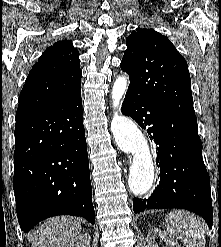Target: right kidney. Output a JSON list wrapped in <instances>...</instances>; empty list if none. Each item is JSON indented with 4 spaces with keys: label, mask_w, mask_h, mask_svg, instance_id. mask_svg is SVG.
<instances>
[{
    "label": "right kidney",
    "mask_w": 221,
    "mask_h": 247,
    "mask_svg": "<svg viewBox=\"0 0 221 247\" xmlns=\"http://www.w3.org/2000/svg\"><path fill=\"white\" fill-rule=\"evenodd\" d=\"M64 247H90V235L86 233L76 236Z\"/></svg>",
    "instance_id": "1"
}]
</instances>
